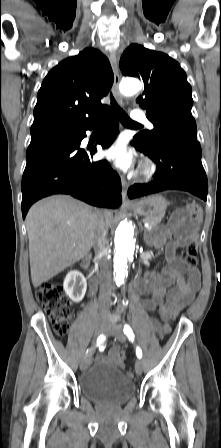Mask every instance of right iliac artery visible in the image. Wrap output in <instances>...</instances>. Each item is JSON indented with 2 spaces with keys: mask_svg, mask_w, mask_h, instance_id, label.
Wrapping results in <instances>:
<instances>
[{
  "mask_svg": "<svg viewBox=\"0 0 221 448\" xmlns=\"http://www.w3.org/2000/svg\"><path fill=\"white\" fill-rule=\"evenodd\" d=\"M105 340V336L102 334L98 337L97 339V346H100L101 343H103V341ZM88 352V350H87Z\"/></svg>",
  "mask_w": 221,
  "mask_h": 448,
  "instance_id": "1",
  "label": "right iliac artery"
}]
</instances>
